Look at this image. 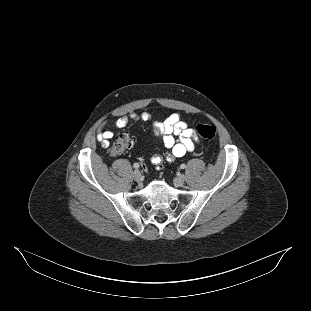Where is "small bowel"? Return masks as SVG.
Wrapping results in <instances>:
<instances>
[{
    "label": "small bowel",
    "instance_id": "c3829d8e",
    "mask_svg": "<svg viewBox=\"0 0 311 311\" xmlns=\"http://www.w3.org/2000/svg\"><path fill=\"white\" fill-rule=\"evenodd\" d=\"M129 119L149 121L150 116L147 113L132 114L129 117L121 116L115 120L113 125L118 129L123 128L127 125ZM107 124V122H104L97 133V140L104 147L109 145L110 139L113 137L112 131L105 128ZM152 129L169 151L165 158L159 154L152 157V162L157 165L161 164L164 159L173 161L176 158L183 157L186 153L194 150L198 141L194 130L181 119L178 113L171 114L162 122L153 121Z\"/></svg>",
    "mask_w": 311,
    "mask_h": 311
}]
</instances>
